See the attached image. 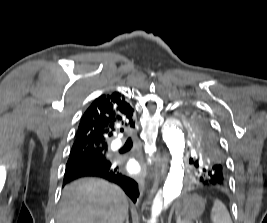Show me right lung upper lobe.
<instances>
[{"label": "right lung upper lobe", "instance_id": "obj_1", "mask_svg": "<svg viewBox=\"0 0 267 223\" xmlns=\"http://www.w3.org/2000/svg\"><path fill=\"white\" fill-rule=\"evenodd\" d=\"M135 127L133 108L119 92L103 94L83 114L72 149L89 145L107 150L116 132Z\"/></svg>", "mask_w": 267, "mask_h": 223}]
</instances>
